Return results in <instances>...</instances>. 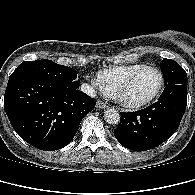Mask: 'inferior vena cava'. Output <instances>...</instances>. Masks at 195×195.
<instances>
[{
    "label": "inferior vena cava",
    "instance_id": "602c4592",
    "mask_svg": "<svg viewBox=\"0 0 195 195\" xmlns=\"http://www.w3.org/2000/svg\"><path fill=\"white\" fill-rule=\"evenodd\" d=\"M80 90L83 92V93H86L87 95L91 96V97H95L96 96V92H95V89L87 84V83H83L80 87Z\"/></svg>",
    "mask_w": 195,
    "mask_h": 195
}]
</instances>
